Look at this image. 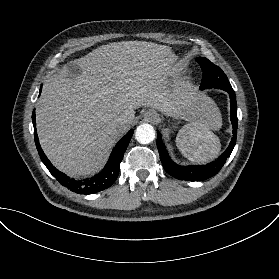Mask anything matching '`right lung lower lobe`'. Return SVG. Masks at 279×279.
<instances>
[{
	"label": "right lung lower lobe",
	"instance_id": "98d812e1",
	"mask_svg": "<svg viewBox=\"0 0 279 279\" xmlns=\"http://www.w3.org/2000/svg\"><path fill=\"white\" fill-rule=\"evenodd\" d=\"M41 92V89H40ZM32 120L34 126L35 144L42 162L51 172V174L58 180V182L69 190L79 194H94L109 188L118 177L120 170V163L123 159L124 153L133 135V130H130L115 146L109 161L105 168L97 175L83 180H75L69 178L64 173L57 170L44 154L38 140L36 132L35 110L32 113Z\"/></svg>",
	"mask_w": 279,
	"mask_h": 279
}]
</instances>
